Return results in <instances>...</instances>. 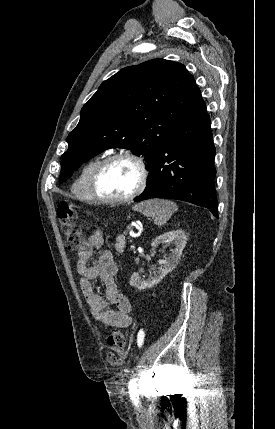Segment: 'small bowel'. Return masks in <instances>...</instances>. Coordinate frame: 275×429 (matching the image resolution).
Masks as SVG:
<instances>
[{
  "instance_id": "c3829d8e",
  "label": "small bowel",
  "mask_w": 275,
  "mask_h": 429,
  "mask_svg": "<svg viewBox=\"0 0 275 429\" xmlns=\"http://www.w3.org/2000/svg\"><path fill=\"white\" fill-rule=\"evenodd\" d=\"M104 238L101 231H95L88 241L79 249L77 272L81 276L80 287L94 318L107 327L116 326L126 328L132 323V304L129 298L119 292L115 275L117 265L110 251L104 250L96 265L90 266L89 260L95 251L103 245ZM100 279L105 286V296L97 294L92 282ZM115 305L116 309H110Z\"/></svg>"
}]
</instances>
